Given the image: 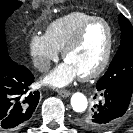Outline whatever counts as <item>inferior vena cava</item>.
I'll list each match as a JSON object with an SVG mask.
<instances>
[{
    "mask_svg": "<svg viewBox=\"0 0 133 133\" xmlns=\"http://www.w3.org/2000/svg\"><path fill=\"white\" fill-rule=\"evenodd\" d=\"M34 64L41 72H46L50 69V60L45 57L35 59Z\"/></svg>",
    "mask_w": 133,
    "mask_h": 133,
    "instance_id": "obj_1",
    "label": "inferior vena cava"
}]
</instances>
